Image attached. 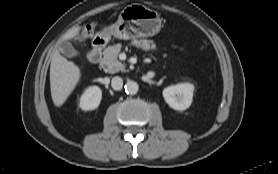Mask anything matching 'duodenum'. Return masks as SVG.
Masks as SVG:
<instances>
[{
	"mask_svg": "<svg viewBox=\"0 0 278 174\" xmlns=\"http://www.w3.org/2000/svg\"><path fill=\"white\" fill-rule=\"evenodd\" d=\"M106 41L102 37H96L93 41L92 49L88 52L87 58L91 63H98L102 56V51Z\"/></svg>",
	"mask_w": 278,
	"mask_h": 174,
	"instance_id": "1",
	"label": "duodenum"
}]
</instances>
